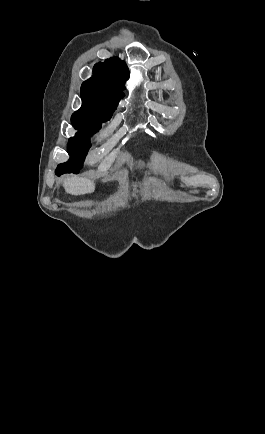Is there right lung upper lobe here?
<instances>
[{
  "instance_id": "1",
  "label": "right lung upper lobe",
  "mask_w": 265,
  "mask_h": 434,
  "mask_svg": "<svg viewBox=\"0 0 265 434\" xmlns=\"http://www.w3.org/2000/svg\"><path fill=\"white\" fill-rule=\"evenodd\" d=\"M94 77L85 81L81 93H92L118 103L124 94V83L129 78V70L123 61L110 58L104 63H97L93 69Z\"/></svg>"
}]
</instances>
